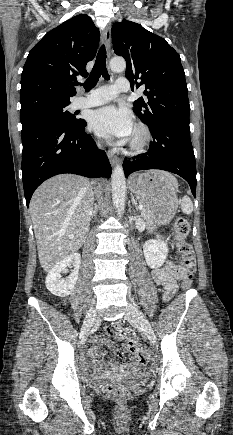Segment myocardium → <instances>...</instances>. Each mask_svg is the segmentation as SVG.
Wrapping results in <instances>:
<instances>
[{
	"label": "myocardium",
	"mask_w": 233,
	"mask_h": 435,
	"mask_svg": "<svg viewBox=\"0 0 233 435\" xmlns=\"http://www.w3.org/2000/svg\"><path fill=\"white\" fill-rule=\"evenodd\" d=\"M133 133L135 136L129 140L128 150L136 154L142 152L148 146L152 136L148 127L143 124H137Z\"/></svg>",
	"instance_id": "1"
}]
</instances>
